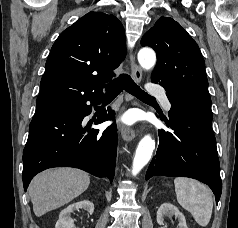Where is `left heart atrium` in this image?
Wrapping results in <instances>:
<instances>
[{
  "label": "left heart atrium",
  "instance_id": "left-heart-atrium-1",
  "mask_svg": "<svg viewBox=\"0 0 238 228\" xmlns=\"http://www.w3.org/2000/svg\"><path fill=\"white\" fill-rule=\"evenodd\" d=\"M135 120H136L135 115L132 112L126 113L122 117V121L126 124H132L135 122Z\"/></svg>",
  "mask_w": 238,
  "mask_h": 228
}]
</instances>
